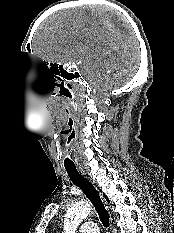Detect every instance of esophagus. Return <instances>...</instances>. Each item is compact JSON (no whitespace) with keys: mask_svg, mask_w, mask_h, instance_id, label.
Masks as SVG:
<instances>
[{"mask_svg":"<svg viewBox=\"0 0 174 233\" xmlns=\"http://www.w3.org/2000/svg\"><path fill=\"white\" fill-rule=\"evenodd\" d=\"M80 172L83 174V175H86L91 181L92 179L86 174L85 170L80 168ZM106 208H108V206H106ZM112 226V225H111Z\"/></svg>","mask_w":174,"mask_h":233,"instance_id":"34e87169","label":"esophagus"}]
</instances>
